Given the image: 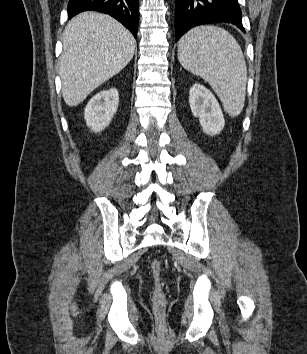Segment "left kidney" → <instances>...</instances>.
<instances>
[{
    "label": "left kidney",
    "instance_id": "5707ae66",
    "mask_svg": "<svg viewBox=\"0 0 307 354\" xmlns=\"http://www.w3.org/2000/svg\"><path fill=\"white\" fill-rule=\"evenodd\" d=\"M189 104L193 115L199 118L206 134L216 135L223 130L225 120L221 107L207 88L194 84L189 91Z\"/></svg>",
    "mask_w": 307,
    "mask_h": 354
}]
</instances>
